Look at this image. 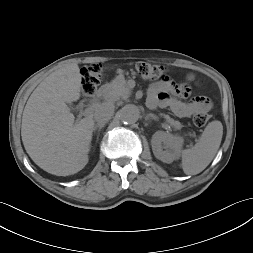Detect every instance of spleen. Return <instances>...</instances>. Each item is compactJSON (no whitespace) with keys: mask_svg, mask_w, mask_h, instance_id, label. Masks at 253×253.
<instances>
[{"mask_svg":"<svg viewBox=\"0 0 253 253\" xmlns=\"http://www.w3.org/2000/svg\"><path fill=\"white\" fill-rule=\"evenodd\" d=\"M222 135V123L212 121L194 147L182 151V169L186 175L199 174L211 163L220 147Z\"/></svg>","mask_w":253,"mask_h":253,"instance_id":"spleen-1","label":"spleen"}]
</instances>
